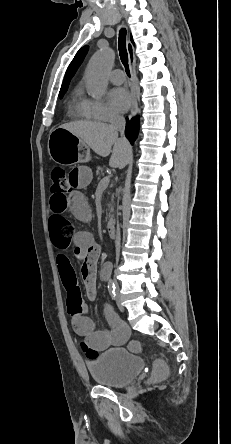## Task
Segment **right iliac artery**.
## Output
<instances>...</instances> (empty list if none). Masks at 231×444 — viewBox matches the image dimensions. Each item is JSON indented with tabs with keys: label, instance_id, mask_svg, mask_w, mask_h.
I'll use <instances>...</instances> for the list:
<instances>
[{
	"label": "right iliac artery",
	"instance_id": "1",
	"mask_svg": "<svg viewBox=\"0 0 231 444\" xmlns=\"http://www.w3.org/2000/svg\"><path fill=\"white\" fill-rule=\"evenodd\" d=\"M108 291H109V294H110L111 298L114 300L115 296H116V294H115V284H114V282L111 279L108 282Z\"/></svg>",
	"mask_w": 231,
	"mask_h": 444
}]
</instances>
